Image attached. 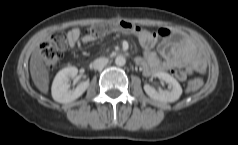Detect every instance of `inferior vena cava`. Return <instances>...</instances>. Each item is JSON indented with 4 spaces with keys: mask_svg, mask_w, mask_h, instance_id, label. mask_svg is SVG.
Wrapping results in <instances>:
<instances>
[{
    "mask_svg": "<svg viewBox=\"0 0 238 145\" xmlns=\"http://www.w3.org/2000/svg\"><path fill=\"white\" fill-rule=\"evenodd\" d=\"M108 63V59L105 58V57H100V58H97L96 60L93 61L92 63V67L95 69V70H100V69H103Z\"/></svg>",
    "mask_w": 238,
    "mask_h": 145,
    "instance_id": "obj_1",
    "label": "inferior vena cava"
}]
</instances>
